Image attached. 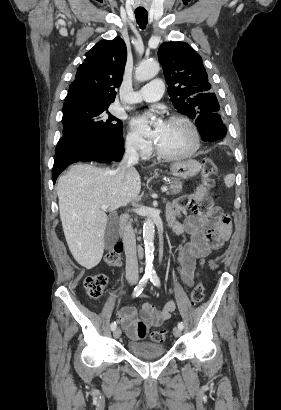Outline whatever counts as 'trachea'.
<instances>
[{
  "instance_id": "3493384b",
  "label": "trachea",
  "mask_w": 281,
  "mask_h": 410,
  "mask_svg": "<svg viewBox=\"0 0 281 410\" xmlns=\"http://www.w3.org/2000/svg\"><path fill=\"white\" fill-rule=\"evenodd\" d=\"M136 20L141 29H145L148 22L147 12H135Z\"/></svg>"
}]
</instances>
